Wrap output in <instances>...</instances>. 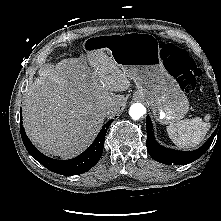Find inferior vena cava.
<instances>
[{
  "instance_id": "1",
  "label": "inferior vena cava",
  "mask_w": 221,
  "mask_h": 221,
  "mask_svg": "<svg viewBox=\"0 0 221 221\" xmlns=\"http://www.w3.org/2000/svg\"><path fill=\"white\" fill-rule=\"evenodd\" d=\"M119 109L120 108L117 105L111 104L104 108L103 113L105 116H111L117 113Z\"/></svg>"
}]
</instances>
